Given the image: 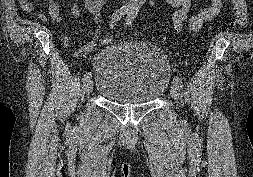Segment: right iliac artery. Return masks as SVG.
I'll use <instances>...</instances> for the list:
<instances>
[{
	"label": "right iliac artery",
	"mask_w": 253,
	"mask_h": 177,
	"mask_svg": "<svg viewBox=\"0 0 253 177\" xmlns=\"http://www.w3.org/2000/svg\"><path fill=\"white\" fill-rule=\"evenodd\" d=\"M133 8V6L131 4H126V5H123L121 8H119L118 10H116L111 18H110V21H109V25L111 28H114L116 23L122 18L125 16V14H127L131 9ZM91 79V73L90 72H87L83 75V82H87L88 80Z\"/></svg>",
	"instance_id": "obj_1"
}]
</instances>
